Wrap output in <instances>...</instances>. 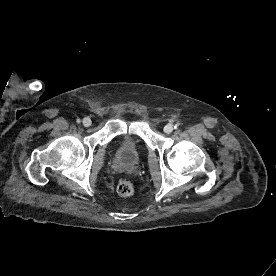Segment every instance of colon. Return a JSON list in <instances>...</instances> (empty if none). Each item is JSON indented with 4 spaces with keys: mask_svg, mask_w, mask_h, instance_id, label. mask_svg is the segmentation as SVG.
Wrapping results in <instances>:
<instances>
[{
    "mask_svg": "<svg viewBox=\"0 0 276 276\" xmlns=\"http://www.w3.org/2000/svg\"><path fill=\"white\" fill-rule=\"evenodd\" d=\"M117 193L122 197H130L134 193V186L129 180L122 179L117 185Z\"/></svg>",
    "mask_w": 276,
    "mask_h": 276,
    "instance_id": "colon-1",
    "label": "colon"
}]
</instances>
